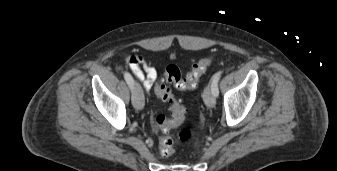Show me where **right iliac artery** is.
I'll return each mask as SVG.
<instances>
[{
	"instance_id": "1",
	"label": "right iliac artery",
	"mask_w": 337,
	"mask_h": 171,
	"mask_svg": "<svg viewBox=\"0 0 337 171\" xmlns=\"http://www.w3.org/2000/svg\"><path fill=\"white\" fill-rule=\"evenodd\" d=\"M124 78H125L127 84L129 85L130 89L132 90L133 89V85H134V81H133L132 76L128 72H125L124 73Z\"/></svg>"
}]
</instances>
